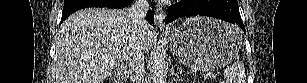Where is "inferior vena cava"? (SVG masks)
Wrapping results in <instances>:
<instances>
[{
    "label": "inferior vena cava",
    "mask_w": 307,
    "mask_h": 83,
    "mask_svg": "<svg viewBox=\"0 0 307 83\" xmlns=\"http://www.w3.org/2000/svg\"><path fill=\"white\" fill-rule=\"evenodd\" d=\"M148 9V0H135L128 9L131 34L127 47V60L129 61L130 78L133 83H141L144 72L142 37L147 26L144 17Z\"/></svg>",
    "instance_id": "1"
}]
</instances>
